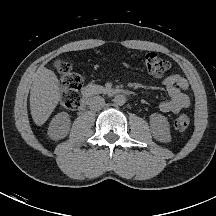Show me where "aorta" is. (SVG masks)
<instances>
[{
  "label": "aorta",
  "instance_id": "1",
  "mask_svg": "<svg viewBox=\"0 0 216 216\" xmlns=\"http://www.w3.org/2000/svg\"><path fill=\"white\" fill-rule=\"evenodd\" d=\"M116 105L122 106L126 103V97L122 94H118L113 99Z\"/></svg>",
  "mask_w": 216,
  "mask_h": 216
}]
</instances>
